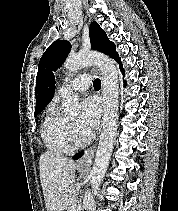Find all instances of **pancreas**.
<instances>
[{
  "instance_id": "pancreas-1",
  "label": "pancreas",
  "mask_w": 178,
  "mask_h": 211,
  "mask_svg": "<svg viewBox=\"0 0 178 211\" xmlns=\"http://www.w3.org/2000/svg\"><path fill=\"white\" fill-rule=\"evenodd\" d=\"M77 200V196L76 195H73L72 198L70 199V202H69V208L67 211H71V206L72 204Z\"/></svg>"
}]
</instances>
